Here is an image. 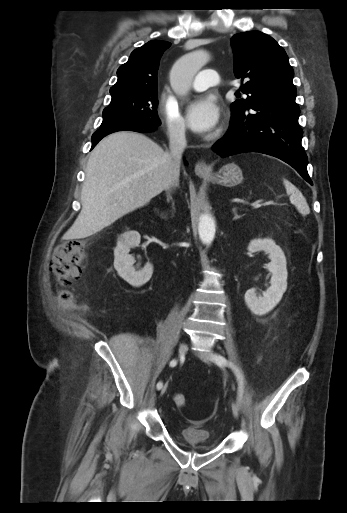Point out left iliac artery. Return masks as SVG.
<instances>
[{
  "label": "left iliac artery",
  "instance_id": "44dca946",
  "mask_svg": "<svg viewBox=\"0 0 347 513\" xmlns=\"http://www.w3.org/2000/svg\"><path fill=\"white\" fill-rule=\"evenodd\" d=\"M213 360L215 361V363L217 365H219V366L227 365L235 372L237 378L239 379V393H238L237 399H238V403L240 404L241 398H242V393H243V376H242L240 370L235 365H233V363L229 362L221 355L214 354Z\"/></svg>",
  "mask_w": 347,
  "mask_h": 513
}]
</instances>
